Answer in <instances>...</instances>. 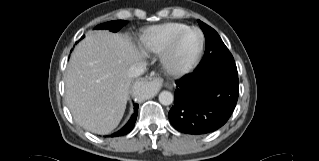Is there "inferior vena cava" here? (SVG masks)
<instances>
[{
	"label": "inferior vena cava",
	"instance_id": "obj_1",
	"mask_svg": "<svg viewBox=\"0 0 319 161\" xmlns=\"http://www.w3.org/2000/svg\"><path fill=\"white\" fill-rule=\"evenodd\" d=\"M146 70V63L139 62L130 67L128 74L130 77H137L143 74Z\"/></svg>",
	"mask_w": 319,
	"mask_h": 161
}]
</instances>
